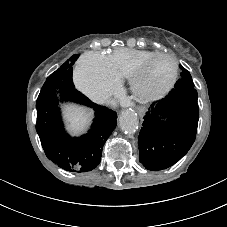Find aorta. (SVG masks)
Returning a JSON list of instances; mask_svg holds the SVG:
<instances>
[{
  "label": "aorta",
  "instance_id": "obj_1",
  "mask_svg": "<svg viewBox=\"0 0 227 227\" xmlns=\"http://www.w3.org/2000/svg\"><path fill=\"white\" fill-rule=\"evenodd\" d=\"M119 125L125 133H134L139 125L137 114L130 109L122 111L119 117Z\"/></svg>",
  "mask_w": 227,
  "mask_h": 227
}]
</instances>
